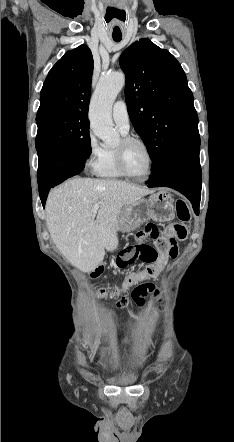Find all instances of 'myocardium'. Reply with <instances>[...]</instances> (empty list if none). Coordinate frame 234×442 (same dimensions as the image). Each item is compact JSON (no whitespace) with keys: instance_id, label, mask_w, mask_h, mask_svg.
I'll return each mask as SVG.
<instances>
[{"instance_id":"f54148a6","label":"myocardium","mask_w":234,"mask_h":442,"mask_svg":"<svg viewBox=\"0 0 234 442\" xmlns=\"http://www.w3.org/2000/svg\"><path fill=\"white\" fill-rule=\"evenodd\" d=\"M131 144H138V145L142 146L144 148V150L146 151V154L148 157V170H147L146 174L143 176L133 175L132 173H130L128 171V169L126 167L125 149L127 146H129ZM114 152H115V160H116L117 168L123 176H125L129 179L136 180V181H145L151 176L152 171H153L154 158H153V154H152V151H151L149 145L145 141H143L142 139L137 138V137L125 136L121 139L120 145L114 149Z\"/></svg>"}]
</instances>
